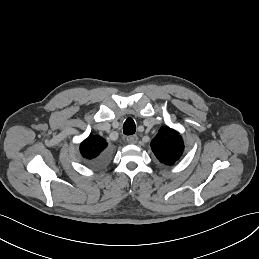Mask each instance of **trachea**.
<instances>
[{
	"instance_id": "1",
	"label": "trachea",
	"mask_w": 259,
	"mask_h": 259,
	"mask_svg": "<svg viewBox=\"0 0 259 259\" xmlns=\"http://www.w3.org/2000/svg\"><path fill=\"white\" fill-rule=\"evenodd\" d=\"M136 131L135 122L132 119H127L123 125V132L125 135H132Z\"/></svg>"
}]
</instances>
